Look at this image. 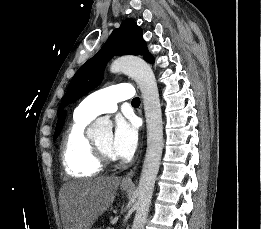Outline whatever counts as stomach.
<instances>
[{
	"mask_svg": "<svg viewBox=\"0 0 261 229\" xmlns=\"http://www.w3.org/2000/svg\"><path fill=\"white\" fill-rule=\"evenodd\" d=\"M122 191H126L127 187H121Z\"/></svg>",
	"mask_w": 261,
	"mask_h": 229,
	"instance_id": "0dacf381",
	"label": "stomach"
}]
</instances>
